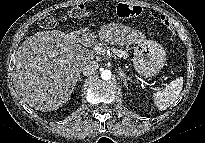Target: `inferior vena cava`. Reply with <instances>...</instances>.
<instances>
[{"label": "inferior vena cava", "instance_id": "602c4592", "mask_svg": "<svg viewBox=\"0 0 205 143\" xmlns=\"http://www.w3.org/2000/svg\"><path fill=\"white\" fill-rule=\"evenodd\" d=\"M98 68H99V65L96 61H89L82 67L81 71L83 72V75L91 76L95 74Z\"/></svg>", "mask_w": 205, "mask_h": 143}]
</instances>
